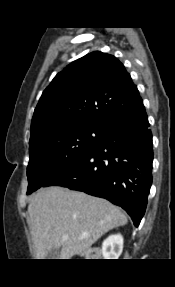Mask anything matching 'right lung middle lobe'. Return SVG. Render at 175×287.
Masks as SVG:
<instances>
[{
    "label": "right lung middle lobe",
    "instance_id": "right-lung-middle-lobe-1",
    "mask_svg": "<svg viewBox=\"0 0 175 287\" xmlns=\"http://www.w3.org/2000/svg\"><path fill=\"white\" fill-rule=\"evenodd\" d=\"M104 128L99 124L77 125L30 143L27 194L83 159L98 144Z\"/></svg>",
    "mask_w": 175,
    "mask_h": 287
}]
</instances>
